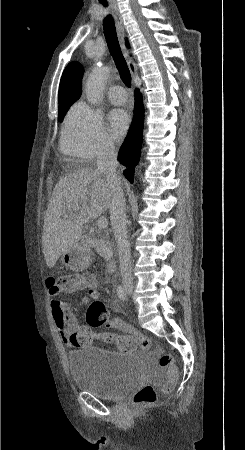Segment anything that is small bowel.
<instances>
[{"label": "small bowel", "mask_w": 245, "mask_h": 450, "mask_svg": "<svg viewBox=\"0 0 245 450\" xmlns=\"http://www.w3.org/2000/svg\"><path fill=\"white\" fill-rule=\"evenodd\" d=\"M97 288L98 283L96 280L89 277L88 283L74 287L70 289V291L85 290L86 295L83 297V302L89 303L90 301L98 298ZM58 293L59 291L56 288H50L47 291L52 319L58 331L59 337L67 346L71 348L82 347L84 345H79L73 337L74 333L80 328L76 317L71 310L70 304L65 300L57 298ZM111 306L113 307L115 305L111 304ZM109 326L119 328L117 323L114 322ZM157 349L159 350V348Z\"/></svg>", "instance_id": "c3829d8e"}]
</instances>
